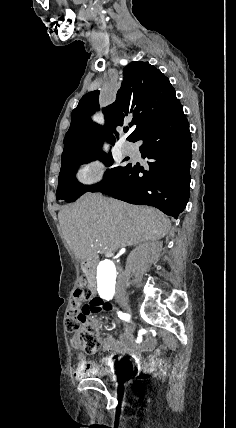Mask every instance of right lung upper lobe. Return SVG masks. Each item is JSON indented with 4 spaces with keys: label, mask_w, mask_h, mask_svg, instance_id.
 <instances>
[{
    "label": "right lung upper lobe",
    "mask_w": 236,
    "mask_h": 428,
    "mask_svg": "<svg viewBox=\"0 0 236 428\" xmlns=\"http://www.w3.org/2000/svg\"><path fill=\"white\" fill-rule=\"evenodd\" d=\"M124 80L116 101L106 108L104 128L92 122L90 115L99 109V91L84 95L72 111L71 124L64 138L61 170L75 161L101 151L106 139L114 144L119 137L117 126L132 117L135 130L128 136L131 141L147 124L160 119L180 105L175 90L167 77L148 62L135 61L124 68Z\"/></svg>",
    "instance_id": "obj_1"
}]
</instances>
